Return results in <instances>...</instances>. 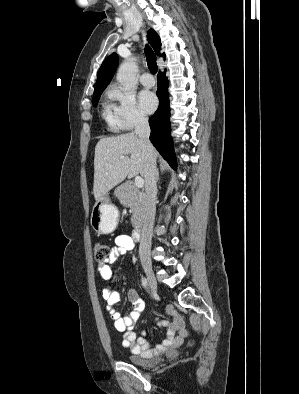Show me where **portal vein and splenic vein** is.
<instances>
[{
	"mask_svg": "<svg viewBox=\"0 0 299 394\" xmlns=\"http://www.w3.org/2000/svg\"><path fill=\"white\" fill-rule=\"evenodd\" d=\"M143 185H144V180L142 179V177L136 176V177H135V186H136L137 188H142Z\"/></svg>",
	"mask_w": 299,
	"mask_h": 394,
	"instance_id": "1",
	"label": "portal vein and splenic vein"
}]
</instances>
